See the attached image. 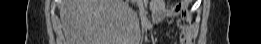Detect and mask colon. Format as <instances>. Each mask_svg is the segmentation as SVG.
Returning <instances> with one entry per match:
<instances>
[{"mask_svg":"<svg viewBox=\"0 0 261 44\" xmlns=\"http://www.w3.org/2000/svg\"><path fill=\"white\" fill-rule=\"evenodd\" d=\"M174 5L175 6H189L190 5V1H188V0L175 1Z\"/></svg>","mask_w":261,"mask_h":44,"instance_id":"5ec220e1","label":"colon"}]
</instances>
